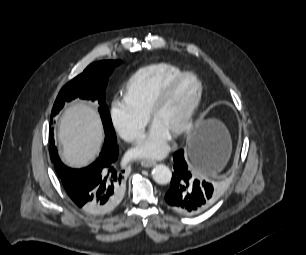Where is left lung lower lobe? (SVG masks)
Instances as JSON below:
<instances>
[{
    "mask_svg": "<svg viewBox=\"0 0 306 255\" xmlns=\"http://www.w3.org/2000/svg\"><path fill=\"white\" fill-rule=\"evenodd\" d=\"M223 153L224 146L211 141L191 149L187 147L185 154L183 150H179L173 155L174 173L165 200L174 211L184 215H194L212 203L215 191L213 185L205 180L193 179L189 159L199 167L209 168L221 158Z\"/></svg>",
    "mask_w": 306,
    "mask_h": 255,
    "instance_id": "0a47b994",
    "label": "left lung lower lobe"
}]
</instances>
